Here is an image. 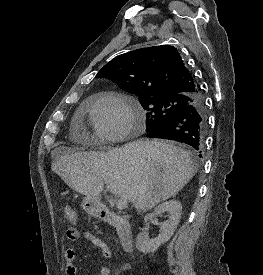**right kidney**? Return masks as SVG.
<instances>
[{
    "instance_id": "right-kidney-1",
    "label": "right kidney",
    "mask_w": 263,
    "mask_h": 275,
    "mask_svg": "<svg viewBox=\"0 0 263 275\" xmlns=\"http://www.w3.org/2000/svg\"><path fill=\"white\" fill-rule=\"evenodd\" d=\"M168 212L170 214L169 220L164 222L161 226V233L157 238L149 239L145 232H140L136 238V248L142 253H153L161 244L166 243L174 234L175 229L181 218L182 205L177 200H169L158 205L154 212L147 214L144 217V223L149 225V221L156 218L158 215Z\"/></svg>"
}]
</instances>
